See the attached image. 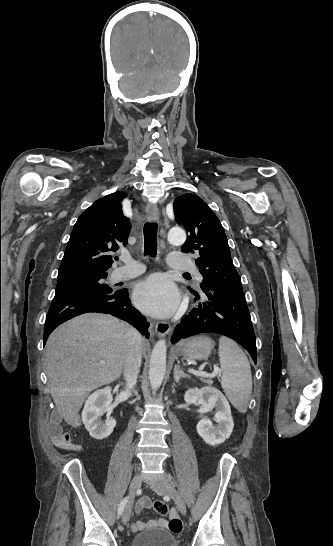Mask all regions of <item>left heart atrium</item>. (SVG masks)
Listing matches in <instances>:
<instances>
[{
	"label": "left heart atrium",
	"mask_w": 333,
	"mask_h": 546,
	"mask_svg": "<svg viewBox=\"0 0 333 546\" xmlns=\"http://www.w3.org/2000/svg\"><path fill=\"white\" fill-rule=\"evenodd\" d=\"M133 299L141 310L157 318L172 315L179 305L175 285L161 274L140 281L134 288Z\"/></svg>",
	"instance_id": "left-heart-atrium-1"
}]
</instances>
